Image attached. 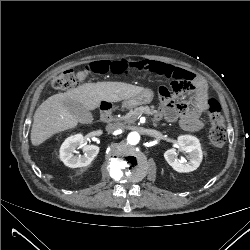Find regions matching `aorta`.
Returning a JSON list of instances; mask_svg holds the SVG:
<instances>
[{
  "mask_svg": "<svg viewBox=\"0 0 250 250\" xmlns=\"http://www.w3.org/2000/svg\"><path fill=\"white\" fill-rule=\"evenodd\" d=\"M127 141L131 145H136L140 141V135L137 132H131L127 136Z\"/></svg>",
  "mask_w": 250,
  "mask_h": 250,
  "instance_id": "obj_1",
  "label": "aorta"
}]
</instances>
